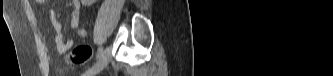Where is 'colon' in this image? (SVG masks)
<instances>
[{
  "label": "colon",
  "mask_w": 333,
  "mask_h": 76,
  "mask_svg": "<svg viewBox=\"0 0 333 76\" xmlns=\"http://www.w3.org/2000/svg\"><path fill=\"white\" fill-rule=\"evenodd\" d=\"M92 54V48L89 45L83 44L77 46L66 56L65 60L69 64L82 65L92 57Z\"/></svg>",
  "instance_id": "5ec220e1"
}]
</instances>
